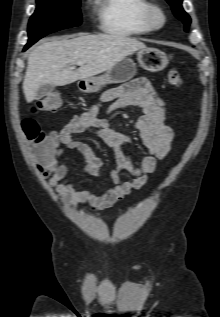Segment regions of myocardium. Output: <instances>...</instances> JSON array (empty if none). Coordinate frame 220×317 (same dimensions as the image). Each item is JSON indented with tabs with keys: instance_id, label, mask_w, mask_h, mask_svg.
Segmentation results:
<instances>
[{
	"instance_id": "1",
	"label": "myocardium",
	"mask_w": 220,
	"mask_h": 317,
	"mask_svg": "<svg viewBox=\"0 0 220 317\" xmlns=\"http://www.w3.org/2000/svg\"><path fill=\"white\" fill-rule=\"evenodd\" d=\"M146 18L149 25L153 29H160L162 28L167 20L166 13L164 9L157 4H151L146 12Z\"/></svg>"
}]
</instances>
